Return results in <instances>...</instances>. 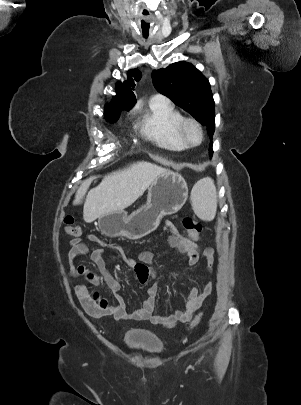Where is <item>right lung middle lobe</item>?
I'll return each mask as SVG.
<instances>
[{"label":"right lung middle lobe","instance_id":"right-lung-middle-lobe-1","mask_svg":"<svg viewBox=\"0 0 301 405\" xmlns=\"http://www.w3.org/2000/svg\"><path fill=\"white\" fill-rule=\"evenodd\" d=\"M122 110H119V111H116V112H113V113H105V115H106V118L108 119V121L109 122H115V121H117V119H118V117H119V113L121 112Z\"/></svg>","mask_w":301,"mask_h":405}]
</instances>
